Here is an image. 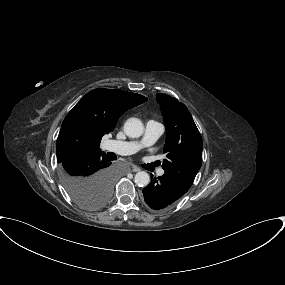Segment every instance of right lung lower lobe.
Returning <instances> with one entry per match:
<instances>
[{"label": "right lung lower lobe", "instance_id": "obj_1", "mask_svg": "<svg viewBox=\"0 0 285 285\" xmlns=\"http://www.w3.org/2000/svg\"><path fill=\"white\" fill-rule=\"evenodd\" d=\"M62 164L65 167L71 165L73 171L81 177L114 176L110 167L111 160L101 150L78 155Z\"/></svg>", "mask_w": 285, "mask_h": 285}]
</instances>
